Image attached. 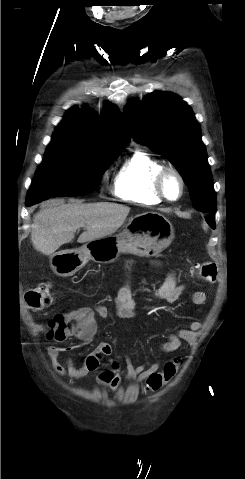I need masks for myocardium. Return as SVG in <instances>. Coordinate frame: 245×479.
<instances>
[{
	"label": "myocardium",
	"mask_w": 245,
	"mask_h": 479,
	"mask_svg": "<svg viewBox=\"0 0 245 479\" xmlns=\"http://www.w3.org/2000/svg\"><path fill=\"white\" fill-rule=\"evenodd\" d=\"M169 177H175L180 185V192L178 196L174 199L168 197L166 193V182ZM186 183L182 174L173 167H164L155 177V190L158 196L166 202H177L179 201L185 193Z\"/></svg>",
	"instance_id": "f54148a6"
}]
</instances>
